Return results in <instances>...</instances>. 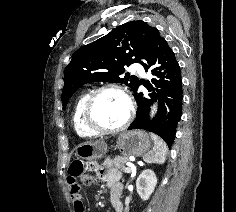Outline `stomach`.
<instances>
[{"instance_id":"obj_1","label":"stomach","mask_w":236,"mask_h":212,"mask_svg":"<svg viewBox=\"0 0 236 212\" xmlns=\"http://www.w3.org/2000/svg\"><path fill=\"white\" fill-rule=\"evenodd\" d=\"M117 148L123 156H143L151 149V140L149 135L141 130H131L121 133L117 137ZM107 152L106 143L86 142L76 147V156L78 158L94 161L103 157Z\"/></svg>"}]
</instances>
